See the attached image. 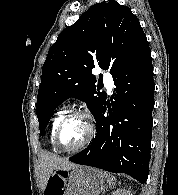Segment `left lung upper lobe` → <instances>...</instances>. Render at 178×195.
I'll list each match as a JSON object with an SVG mask.
<instances>
[{
    "instance_id": "obj_1",
    "label": "left lung upper lobe",
    "mask_w": 178,
    "mask_h": 195,
    "mask_svg": "<svg viewBox=\"0 0 178 195\" xmlns=\"http://www.w3.org/2000/svg\"><path fill=\"white\" fill-rule=\"evenodd\" d=\"M148 51L146 35L130 8L113 0L91 6L48 51L36 105L40 136L55 108L69 97L84 101L97 116L106 96L98 92L93 68L110 69L114 79Z\"/></svg>"
}]
</instances>
